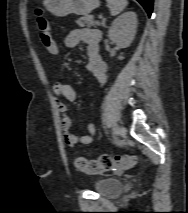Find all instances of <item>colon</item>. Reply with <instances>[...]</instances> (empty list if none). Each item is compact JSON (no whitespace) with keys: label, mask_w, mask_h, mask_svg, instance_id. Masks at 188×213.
<instances>
[{"label":"colon","mask_w":188,"mask_h":213,"mask_svg":"<svg viewBox=\"0 0 188 213\" xmlns=\"http://www.w3.org/2000/svg\"><path fill=\"white\" fill-rule=\"evenodd\" d=\"M35 15L39 27V38L43 47L49 53L56 54L57 47L52 38L49 23L43 15V10L41 8H36ZM136 163L137 158L133 155H102L96 160L77 158L75 160V167L83 173L94 175L114 170H127L133 168Z\"/></svg>","instance_id":"1"}]
</instances>
